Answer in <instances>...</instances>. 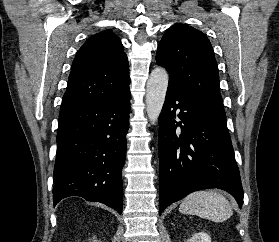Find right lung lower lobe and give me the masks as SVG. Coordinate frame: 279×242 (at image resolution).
I'll return each mask as SVG.
<instances>
[{
  "label": "right lung lower lobe",
  "mask_w": 279,
  "mask_h": 242,
  "mask_svg": "<svg viewBox=\"0 0 279 242\" xmlns=\"http://www.w3.org/2000/svg\"><path fill=\"white\" fill-rule=\"evenodd\" d=\"M130 90L60 109L54 167V206L79 196L122 213L121 170L126 158Z\"/></svg>",
  "instance_id": "98d812e1"
}]
</instances>
